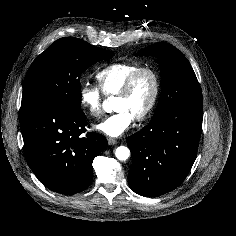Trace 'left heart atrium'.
<instances>
[{
  "mask_svg": "<svg viewBox=\"0 0 236 236\" xmlns=\"http://www.w3.org/2000/svg\"><path fill=\"white\" fill-rule=\"evenodd\" d=\"M134 119L133 115L128 111L118 110L95 127L97 130L108 136L118 137L124 134L131 127Z\"/></svg>",
  "mask_w": 236,
  "mask_h": 236,
  "instance_id": "left-heart-atrium-1",
  "label": "left heart atrium"
}]
</instances>
